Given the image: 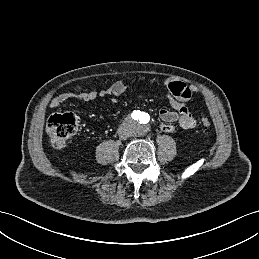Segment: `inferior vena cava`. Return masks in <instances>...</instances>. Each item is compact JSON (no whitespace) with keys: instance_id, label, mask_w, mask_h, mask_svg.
<instances>
[{"instance_id":"inferior-vena-cava-1","label":"inferior vena cava","mask_w":259,"mask_h":259,"mask_svg":"<svg viewBox=\"0 0 259 259\" xmlns=\"http://www.w3.org/2000/svg\"><path fill=\"white\" fill-rule=\"evenodd\" d=\"M119 136H120L121 139H127L129 137V134L123 133V132L120 131Z\"/></svg>"}]
</instances>
